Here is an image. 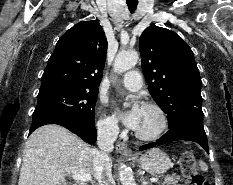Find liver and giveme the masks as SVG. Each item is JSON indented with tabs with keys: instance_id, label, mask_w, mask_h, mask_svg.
<instances>
[{
	"instance_id": "6515ba94",
	"label": "liver",
	"mask_w": 233,
	"mask_h": 185,
	"mask_svg": "<svg viewBox=\"0 0 233 185\" xmlns=\"http://www.w3.org/2000/svg\"><path fill=\"white\" fill-rule=\"evenodd\" d=\"M95 151L62 126H42L26 141L18 185H66L65 176L77 173L95 177Z\"/></svg>"
}]
</instances>
